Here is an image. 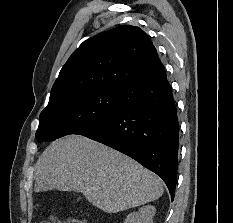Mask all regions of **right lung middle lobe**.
<instances>
[{"mask_svg": "<svg viewBox=\"0 0 233 223\" xmlns=\"http://www.w3.org/2000/svg\"><path fill=\"white\" fill-rule=\"evenodd\" d=\"M120 93L118 88H92L49 101L40 114L36 139L53 141L65 135L80 134L120 109Z\"/></svg>", "mask_w": 233, "mask_h": 223, "instance_id": "obj_1", "label": "right lung middle lobe"}]
</instances>
